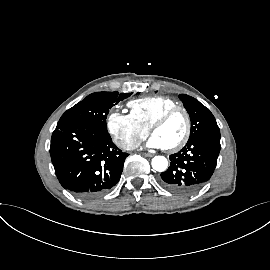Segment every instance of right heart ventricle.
<instances>
[{
  "label": "right heart ventricle",
  "mask_w": 270,
  "mask_h": 270,
  "mask_svg": "<svg viewBox=\"0 0 270 270\" xmlns=\"http://www.w3.org/2000/svg\"><path fill=\"white\" fill-rule=\"evenodd\" d=\"M177 105L175 100L163 96L138 98L128 103L133 117L148 129L163 112Z\"/></svg>",
  "instance_id": "right-heart-ventricle-1"
}]
</instances>
